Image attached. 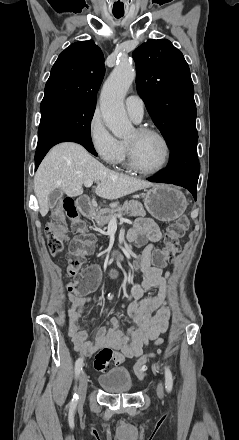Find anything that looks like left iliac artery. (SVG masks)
I'll use <instances>...</instances> for the list:
<instances>
[{"label": "left iliac artery", "instance_id": "left-iliac-artery-1", "mask_svg": "<svg viewBox=\"0 0 239 440\" xmlns=\"http://www.w3.org/2000/svg\"><path fill=\"white\" fill-rule=\"evenodd\" d=\"M173 378L171 371L168 367H165V387L168 392L172 390Z\"/></svg>", "mask_w": 239, "mask_h": 440}]
</instances>
